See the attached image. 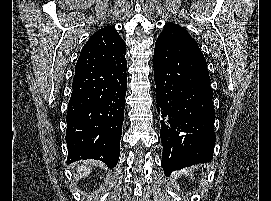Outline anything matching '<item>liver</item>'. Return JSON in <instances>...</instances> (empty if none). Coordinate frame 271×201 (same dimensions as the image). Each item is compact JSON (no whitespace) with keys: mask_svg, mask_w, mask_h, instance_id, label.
Segmentation results:
<instances>
[{"mask_svg":"<svg viewBox=\"0 0 271 201\" xmlns=\"http://www.w3.org/2000/svg\"><path fill=\"white\" fill-rule=\"evenodd\" d=\"M91 164H92V162H90V161L78 164L77 172L79 174V178L87 177L90 174Z\"/></svg>","mask_w":271,"mask_h":201,"instance_id":"6515ba94","label":"liver"}]
</instances>
